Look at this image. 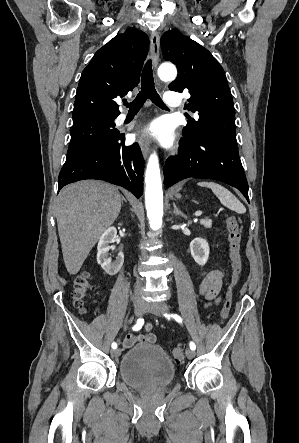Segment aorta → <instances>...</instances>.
<instances>
[{"label": "aorta", "instance_id": "obj_1", "mask_svg": "<svg viewBox=\"0 0 299 443\" xmlns=\"http://www.w3.org/2000/svg\"><path fill=\"white\" fill-rule=\"evenodd\" d=\"M158 76L163 81L174 80L177 70L172 64H162L158 68ZM145 205L150 228L158 231L162 226L163 191L159 160L154 153L150 155L145 172Z\"/></svg>", "mask_w": 299, "mask_h": 443}]
</instances>
